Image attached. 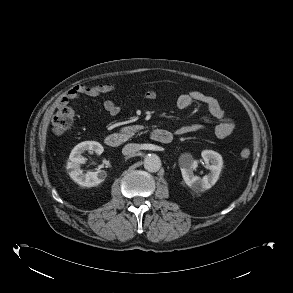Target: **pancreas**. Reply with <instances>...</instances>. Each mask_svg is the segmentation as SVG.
Listing matches in <instances>:
<instances>
[{
    "label": "pancreas",
    "instance_id": "obj_1",
    "mask_svg": "<svg viewBox=\"0 0 293 293\" xmlns=\"http://www.w3.org/2000/svg\"><path fill=\"white\" fill-rule=\"evenodd\" d=\"M143 126L136 125V126H128L121 128L120 132L128 139L132 137L138 130L142 129Z\"/></svg>",
    "mask_w": 293,
    "mask_h": 293
}]
</instances>
